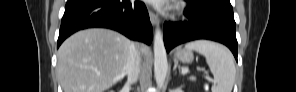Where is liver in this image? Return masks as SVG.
Wrapping results in <instances>:
<instances>
[{"mask_svg": "<svg viewBox=\"0 0 296 92\" xmlns=\"http://www.w3.org/2000/svg\"><path fill=\"white\" fill-rule=\"evenodd\" d=\"M130 40L109 29L79 31L58 50L57 72L64 92H104L126 70ZM147 54L149 49L142 47Z\"/></svg>", "mask_w": 296, "mask_h": 92, "instance_id": "1", "label": "liver"}]
</instances>
